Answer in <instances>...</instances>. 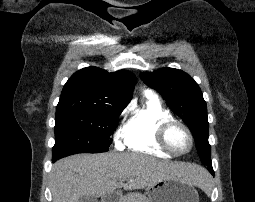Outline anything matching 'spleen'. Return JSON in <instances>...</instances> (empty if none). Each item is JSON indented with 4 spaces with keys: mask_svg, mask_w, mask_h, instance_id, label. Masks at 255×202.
I'll return each mask as SVG.
<instances>
[{
    "mask_svg": "<svg viewBox=\"0 0 255 202\" xmlns=\"http://www.w3.org/2000/svg\"><path fill=\"white\" fill-rule=\"evenodd\" d=\"M202 186H203L204 188H208V186H209V177H208V176L203 177Z\"/></svg>",
    "mask_w": 255,
    "mask_h": 202,
    "instance_id": "spleen-1",
    "label": "spleen"
}]
</instances>
